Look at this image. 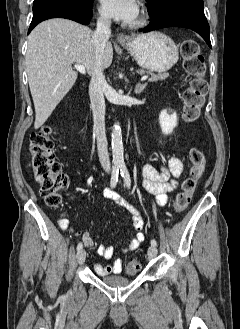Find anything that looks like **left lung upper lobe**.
<instances>
[{"label":"left lung upper lobe","mask_w":240,"mask_h":329,"mask_svg":"<svg viewBox=\"0 0 240 329\" xmlns=\"http://www.w3.org/2000/svg\"><path fill=\"white\" fill-rule=\"evenodd\" d=\"M148 3L147 11L150 17L155 18L167 7L176 3H195L203 5V0H146Z\"/></svg>","instance_id":"5c2ea615"}]
</instances>
